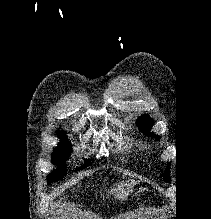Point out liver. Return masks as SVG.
Here are the masks:
<instances>
[{
  "instance_id": "obj_1",
  "label": "liver",
  "mask_w": 211,
  "mask_h": 219,
  "mask_svg": "<svg viewBox=\"0 0 211 219\" xmlns=\"http://www.w3.org/2000/svg\"><path fill=\"white\" fill-rule=\"evenodd\" d=\"M123 189V184L118 185V187L115 189L116 191ZM126 193H121L118 195L119 198L124 199Z\"/></svg>"
}]
</instances>
